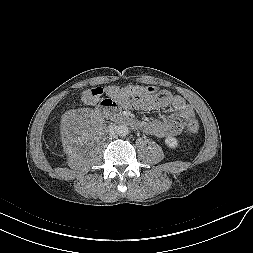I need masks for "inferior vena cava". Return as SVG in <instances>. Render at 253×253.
Instances as JSON below:
<instances>
[{"mask_svg": "<svg viewBox=\"0 0 253 253\" xmlns=\"http://www.w3.org/2000/svg\"><path fill=\"white\" fill-rule=\"evenodd\" d=\"M109 135L111 138H114L116 136V132L114 131V129H109Z\"/></svg>", "mask_w": 253, "mask_h": 253, "instance_id": "1", "label": "inferior vena cava"}]
</instances>
